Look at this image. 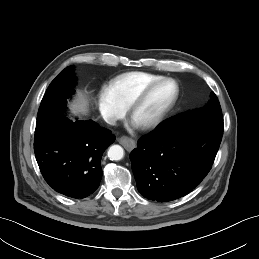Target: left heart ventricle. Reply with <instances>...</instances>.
Returning a JSON list of instances; mask_svg holds the SVG:
<instances>
[{
	"instance_id": "b2bd125f",
	"label": "left heart ventricle",
	"mask_w": 259,
	"mask_h": 259,
	"mask_svg": "<svg viewBox=\"0 0 259 259\" xmlns=\"http://www.w3.org/2000/svg\"><path fill=\"white\" fill-rule=\"evenodd\" d=\"M176 87L171 82L157 86L136 109L132 120L141 125L152 120L174 97Z\"/></svg>"
}]
</instances>
